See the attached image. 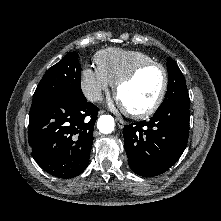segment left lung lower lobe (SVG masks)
Returning <instances> with one entry per match:
<instances>
[{"label":"left lung lower lobe","instance_id":"left-lung-lower-lobe-1","mask_svg":"<svg viewBox=\"0 0 221 221\" xmlns=\"http://www.w3.org/2000/svg\"><path fill=\"white\" fill-rule=\"evenodd\" d=\"M189 95L159 107L149 121L123 128L128 164L140 176H156L180 158L188 141Z\"/></svg>","mask_w":221,"mask_h":221}]
</instances>
